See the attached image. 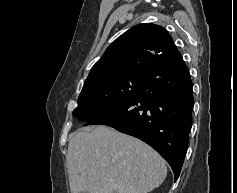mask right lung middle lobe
<instances>
[{
    "label": "right lung middle lobe",
    "mask_w": 237,
    "mask_h": 193,
    "mask_svg": "<svg viewBox=\"0 0 237 193\" xmlns=\"http://www.w3.org/2000/svg\"><path fill=\"white\" fill-rule=\"evenodd\" d=\"M144 75H125L83 86L73 116L90 121L124 105L140 89Z\"/></svg>",
    "instance_id": "1"
}]
</instances>
